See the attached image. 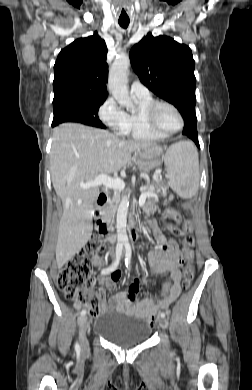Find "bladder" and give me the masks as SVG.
<instances>
[{"instance_id":"1","label":"bladder","mask_w":252,"mask_h":390,"mask_svg":"<svg viewBox=\"0 0 252 390\" xmlns=\"http://www.w3.org/2000/svg\"><path fill=\"white\" fill-rule=\"evenodd\" d=\"M93 332L117 346L129 348L145 343L151 327L141 318L106 314L95 322Z\"/></svg>"}]
</instances>
